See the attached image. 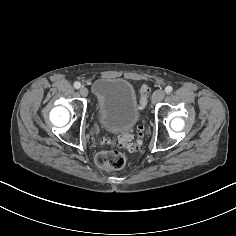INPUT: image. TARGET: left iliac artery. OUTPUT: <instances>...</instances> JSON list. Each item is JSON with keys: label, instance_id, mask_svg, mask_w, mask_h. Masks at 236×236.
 <instances>
[{"label": "left iliac artery", "instance_id": "obj_1", "mask_svg": "<svg viewBox=\"0 0 236 236\" xmlns=\"http://www.w3.org/2000/svg\"><path fill=\"white\" fill-rule=\"evenodd\" d=\"M172 91H173L172 86H167V87L165 88V92H166L167 94H170Z\"/></svg>", "mask_w": 236, "mask_h": 236}]
</instances>
